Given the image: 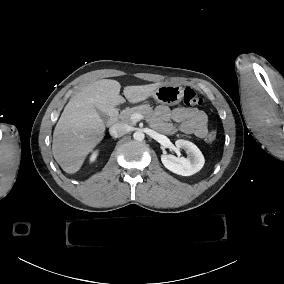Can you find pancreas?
Listing matches in <instances>:
<instances>
[{
	"instance_id": "obj_1",
	"label": "pancreas",
	"mask_w": 284,
	"mask_h": 284,
	"mask_svg": "<svg viewBox=\"0 0 284 284\" xmlns=\"http://www.w3.org/2000/svg\"><path fill=\"white\" fill-rule=\"evenodd\" d=\"M133 113H140V114L144 115L147 120H149L151 117H153L155 115V113H154L153 109L150 107V105H140V106L133 107V108L126 109V110L122 111L120 113L119 118L124 123H128V124L133 125L134 123L129 120L130 116Z\"/></svg>"
}]
</instances>
